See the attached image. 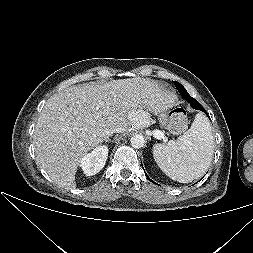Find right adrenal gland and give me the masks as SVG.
<instances>
[{
    "mask_svg": "<svg viewBox=\"0 0 253 253\" xmlns=\"http://www.w3.org/2000/svg\"><path fill=\"white\" fill-rule=\"evenodd\" d=\"M103 141H105V143H109L110 142V139H109V136H106L104 139H103Z\"/></svg>",
    "mask_w": 253,
    "mask_h": 253,
    "instance_id": "2a0ac1e0",
    "label": "right adrenal gland"
}]
</instances>
